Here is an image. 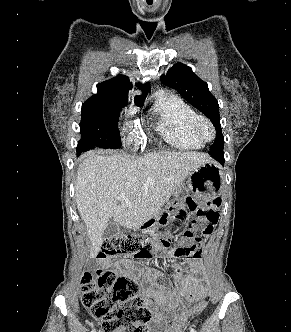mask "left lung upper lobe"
Returning <instances> with one entry per match:
<instances>
[{"label": "left lung upper lobe", "instance_id": "5c2ea615", "mask_svg": "<svg viewBox=\"0 0 291 332\" xmlns=\"http://www.w3.org/2000/svg\"><path fill=\"white\" fill-rule=\"evenodd\" d=\"M163 84L176 89L191 105L208 117L217 130L216 139L209 153L223 152L224 137L221 131L219 105L210 93L206 82L201 80L192 69L182 63H176L161 76Z\"/></svg>", "mask_w": 291, "mask_h": 332}]
</instances>
